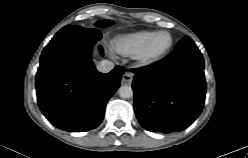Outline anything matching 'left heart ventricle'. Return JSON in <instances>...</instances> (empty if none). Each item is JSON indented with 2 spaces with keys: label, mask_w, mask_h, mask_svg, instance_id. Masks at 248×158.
Segmentation results:
<instances>
[{
  "label": "left heart ventricle",
  "mask_w": 248,
  "mask_h": 158,
  "mask_svg": "<svg viewBox=\"0 0 248 158\" xmlns=\"http://www.w3.org/2000/svg\"><path fill=\"white\" fill-rule=\"evenodd\" d=\"M168 36L166 34H161L155 38L152 44V49L154 51H159L163 49L168 44Z\"/></svg>",
  "instance_id": "b2bd125f"
}]
</instances>
